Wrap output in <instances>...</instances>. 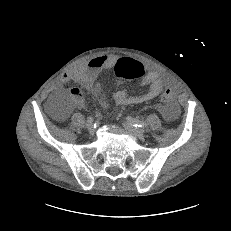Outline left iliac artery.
Wrapping results in <instances>:
<instances>
[{"label":"left iliac artery","mask_w":231,"mask_h":231,"mask_svg":"<svg viewBox=\"0 0 231 231\" xmlns=\"http://www.w3.org/2000/svg\"><path fill=\"white\" fill-rule=\"evenodd\" d=\"M128 122L133 125L134 127H140V128H144L147 127V123L144 121H140L138 119H134L132 117H127Z\"/></svg>","instance_id":"1"}]
</instances>
